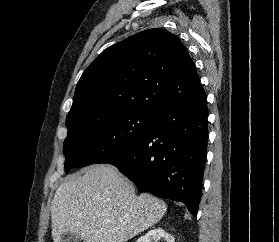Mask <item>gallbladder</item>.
Instances as JSON below:
<instances>
[{
	"label": "gallbladder",
	"mask_w": 279,
	"mask_h": 242,
	"mask_svg": "<svg viewBox=\"0 0 279 242\" xmlns=\"http://www.w3.org/2000/svg\"><path fill=\"white\" fill-rule=\"evenodd\" d=\"M82 239L76 234L64 233L61 235V242H81Z\"/></svg>",
	"instance_id": "1"
}]
</instances>
